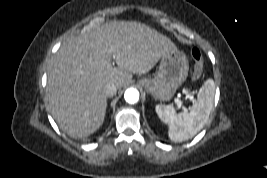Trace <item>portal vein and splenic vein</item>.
Segmentation results:
<instances>
[{
    "instance_id": "obj_1",
    "label": "portal vein and splenic vein",
    "mask_w": 267,
    "mask_h": 178,
    "mask_svg": "<svg viewBox=\"0 0 267 178\" xmlns=\"http://www.w3.org/2000/svg\"><path fill=\"white\" fill-rule=\"evenodd\" d=\"M174 101H175L178 108L182 107V102L178 98H176Z\"/></svg>"
}]
</instances>
